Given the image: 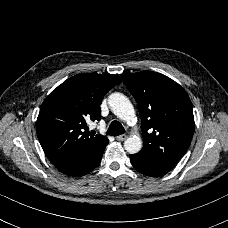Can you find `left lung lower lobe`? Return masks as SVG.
Segmentation results:
<instances>
[{
  "mask_svg": "<svg viewBox=\"0 0 228 228\" xmlns=\"http://www.w3.org/2000/svg\"><path fill=\"white\" fill-rule=\"evenodd\" d=\"M130 160L136 170L151 177L162 176L169 172L175 165L154 163L139 157L137 154L130 155Z\"/></svg>",
  "mask_w": 228,
  "mask_h": 228,
  "instance_id": "obj_1",
  "label": "left lung lower lobe"
}]
</instances>
